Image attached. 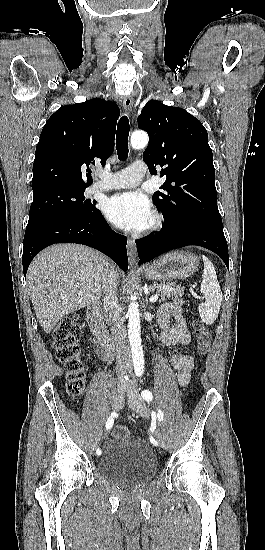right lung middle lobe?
<instances>
[{
    "instance_id": "dd1d6c3e",
    "label": "right lung middle lobe",
    "mask_w": 265,
    "mask_h": 550,
    "mask_svg": "<svg viewBox=\"0 0 265 550\" xmlns=\"http://www.w3.org/2000/svg\"><path fill=\"white\" fill-rule=\"evenodd\" d=\"M85 189L51 185L33 189L28 224L60 216H90L98 211L96 201L86 200Z\"/></svg>"
}]
</instances>
